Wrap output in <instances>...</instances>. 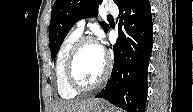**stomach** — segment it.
Returning <instances> with one entry per match:
<instances>
[{
    "label": "stomach",
    "mask_w": 193,
    "mask_h": 112,
    "mask_svg": "<svg viewBox=\"0 0 193 112\" xmlns=\"http://www.w3.org/2000/svg\"><path fill=\"white\" fill-rule=\"evenodd\" d=\"M88 112H112L102 101H96Z\"/></svg>",
    "instance_id": "0dacf381"
}]
</instances>
